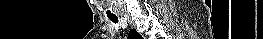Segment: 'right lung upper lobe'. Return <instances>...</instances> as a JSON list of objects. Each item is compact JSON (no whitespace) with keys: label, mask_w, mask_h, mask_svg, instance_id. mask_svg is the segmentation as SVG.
Masks as SVG:
<instances>
[{"label":"right lung upper lobe","mask_w":263,"mask_h":39,"mask_svg":"<svg viewBox=\"0 0 263 39\" xmlns=\"http://www.w3.org/2000/svg\"><path fill=\"white\" fill-rule=\"evenodd\" d=\"M129 35L133 36L134 38L140 37V35L134 29L130 31Z\"/></svg>","instance_id":"cb5924a9"}]
</instances>
